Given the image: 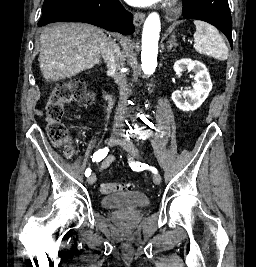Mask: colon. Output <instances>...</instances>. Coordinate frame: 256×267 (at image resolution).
<instances>
[{
  "label": "colon",
  "instance_id": "colon-1",
  "mask_svg": "<svg viewBox=\"0 0 256 267\" xmlns=\"http://www.w3.org/2000/svg\"><path fill=\"white\" fill-rule=\"evenodd\" d=\"M89 100L90 95L85 85L76 79L54 88L48 97L46 103L47 135L57 147L65 148L68 157L73 155L75 148L69 142V132L62 121L66 113L65 106L70 103H87ZM132 189L133 185L127 182H104L100 185V191L106 195Z\"/></svg>",
  "mask_w": 256,
  "mask_h": 267
}]
</instances>
